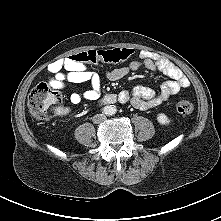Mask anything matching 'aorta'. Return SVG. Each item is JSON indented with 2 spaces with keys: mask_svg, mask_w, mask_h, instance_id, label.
I'll return each mask as SVG.
<instances>
[{
  "mask_svg": "<svg viewBox=\"0 0 221 221\" xmlns=\"http://www.w3.org/2000/svg\"><path fill=\"white\" fill-rule=\"evenodd\" d=\"M106 112L109 115H113L117 112V108H116L115 105H109V106L106 107Z\"/></svg>",
  "mask_w": 221,
  "mask_h": 221,
  "instance_id": "obj_1",
  "label": "aorta"
}]
</instances>
